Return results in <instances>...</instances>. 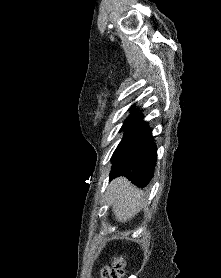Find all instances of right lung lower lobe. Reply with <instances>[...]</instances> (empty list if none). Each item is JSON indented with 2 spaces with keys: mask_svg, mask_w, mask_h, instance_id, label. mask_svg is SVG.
<instances>
[{
  "mask_svg": "<svg viewBox=\"0 0 221 278\" xmlns=\"http://www.w3.org/2000/svg\"><path fill=\"white\" fill-rule=\"evenodd\" d=\"M157 159V148L151 129L145 124L127 143L117 149L113 156L111 179L125 176L138 187L148 185Z\"/></svg>",
  "mask_w": 221,
  "mask_h": 278,
  "instance_id": "right-lung-lower-lobe-1",
  "label": "right lung lower lobe"
}]
</instances>
